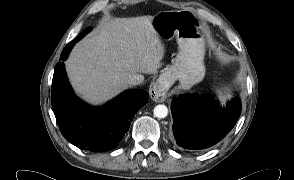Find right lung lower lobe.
Instances as JSON below:
<instances>
[{
	"label": "right lung lower lobe",
	"instance_id": "1",
	"mask_svg": "<svg viewBox=\"0 0 294 180\" xmlns=\"http://www.w3.org/2000/svg\"><path fill=\"white\" fill-rule=\"evenodd\" d=\"M80 34L63 49L56 64L51 91L53 111L63 136L80 149L107 151L118 146L137 111L148 102L144 90H129L103 107H91L79 100L65 73L64 63Z\"/></svg>",
	"mask_w": 294,
	"mask_h": 180
}]
</instances>
